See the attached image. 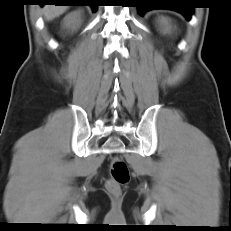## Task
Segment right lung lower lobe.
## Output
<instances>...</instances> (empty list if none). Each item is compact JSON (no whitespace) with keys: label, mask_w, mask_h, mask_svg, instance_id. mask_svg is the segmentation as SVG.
Listing matches in <instances>:
<instances>
[{"label":"right lung lower lobe","mask_w":231,"mask_h":231,"mask_svg":"<svg viewBox=\"0 0 231 231\" xmlns=\"http://www.w3.org/2000/svg\"><path fill=\"white\" fill-rule=\"evenodd\" d=\"M42 3L41 5L47 4V3H55L56 5H89L92 7L93 11H96L97 6L93 5L91 3H85V2H91L89 0H40Z\"/></svg>","instance_id":"right-lung-lower-lobe-1"}]
</instances>
